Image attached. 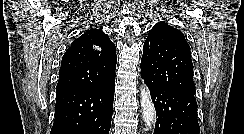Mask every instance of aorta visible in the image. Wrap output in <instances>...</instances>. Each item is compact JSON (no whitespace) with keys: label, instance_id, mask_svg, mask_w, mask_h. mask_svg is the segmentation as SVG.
<instances>
[{"label":"aorta","instance_id":"1","mask_svg":"<svg viewBox=\"0 0 244 134\" xmlns=\"http://www.w3.org/2000/svg\"><path fill=\"white\" fill-rule=\"evenodd\" d=\"M140 102L145 126L147 130H152L156 122V111L151 100L150 90L144 82L140 87Z\"/></svg>","mask_w":244,"mask_h":134}]
</instances>
